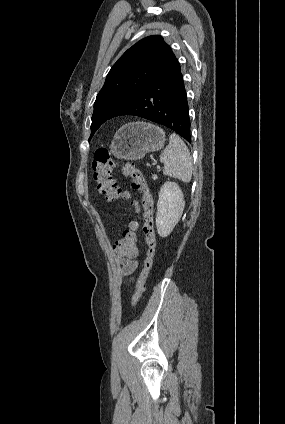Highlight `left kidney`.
I'll return each mask as SVG.
<instances>
[{
  "label": "left kidney",
  "mask_w": 285,
  "mask_h": 424,
  "mask_svg": "<svg viewBox=\"0 0 285 424\" xmlns=\"http://www.w3.org/2000/svg\"><path fill=\"white\" fill-rule=\"evenodd\" d=\"M185 207L184 195L177 183L165 182L159 192L156 228L161 237H167L179 222Z\"/></svg>",
  "instance_id": "left-kidney-1"
}]
</instances>
